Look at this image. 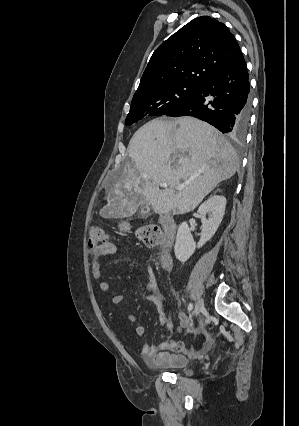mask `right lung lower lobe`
I'll return each instance as SVG.
<instances>
[{
  "label": "right lung lower lobe",
  "mask_w": 299,
  "mask_h": 426,
  "mask_svg": "<svg viewBox=\"0 0 299 426\" xmlns=\"http://www.w3.org/2000/svg\"><path fill=\"white\" fill-rule=\"evenodd\" d=\"M250 84L242 53L227 67L206 79L197 92L167 116H193L222 133L243 137L251 112Z\"/></svg>",
  "instance_id": "1"
}]
</instances>
